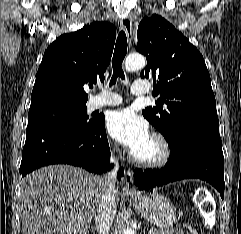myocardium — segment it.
Returning a JSON list of instances; mask_svg holds the SVG:
<instances>
[{"label": "myocardium", "instance_id": "myocardium-1", "mask_svg": "<svg viewBox=\"0 0 241 234\" xmlns=\"http://www.w3.org/2000/svg\"><path fill=\"white\" fill-rule=\"evenodd\" d=\"M151 138L158 144V155L152 159H142L133 154L132 160L135 164L144 168L162 167L166 165L171 158L172 149L170 143L167 138L159 132L152 133Z\"/></svg>", "mask_w": 241, "mask_h": 234}]
</instances>
